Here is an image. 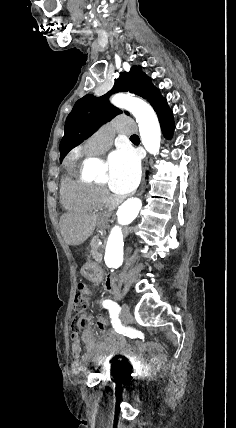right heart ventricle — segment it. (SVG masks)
Masks as SVG:
<instances>
[{
    "mask_svg": "<svg viewBox=\"0 0 236 428\" xmlns=\"http://www.w3.org/2000/svg\"><path fill=\"white\" fill-rule=\"evenodd\" d=\"M90 156L84 147L76 150L61 179L60 196L67 209L97 211L104 203L101 189L82 174V168Z\"/></svg>",
    "mask_w": 236,
    "mask_h": 428,
    "instance_id": "e07e8e85",
    "label": "right heart ventricle"
}]
</instances>
